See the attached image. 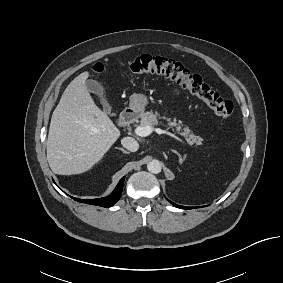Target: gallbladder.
Listing matches in <instances>:
<instances>
[{
    "label": "gallbladder",
    "mask_w": 283,
    "mask_h": 283,
    "mask_svg": "<svg viewBox=\"0 0 283 283\" xmlns=\"http://www.w3.org/2000/svg\"><path fill=\"white\" fill-rule=\"evenodd\" d=\"M86 87L87 89L96 94L100 100H101V103L103 105V110L106 114H110L111 113V107L110 105L108 104V101L106 99V95H105V91H104V87L103 85L96 81V80H93V79H88L86 81Z\"/></svg>",
    "instance_id": "obj_1"
}]
</instances>
